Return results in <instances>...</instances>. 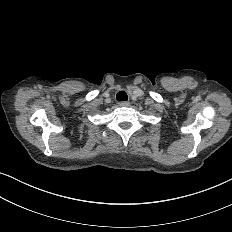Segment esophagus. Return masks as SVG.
<instances>
[{
    "label": "esophagus",
    "mask_w": 232,
    "mask_h": 232,
    "mask_svg": "<svg viewBox=\"0 0 232 232\" xmlns=\"http://www.w3.org/2000/svg\"><path fill=\"white\" fill-rule=\"evenodd\" d=\"M119 105L122 106V107H128L130 105V103L127 102V101H122V102H120Z\"/></svg>",
    "instance_id": "34e87169"
}]
</instances>
